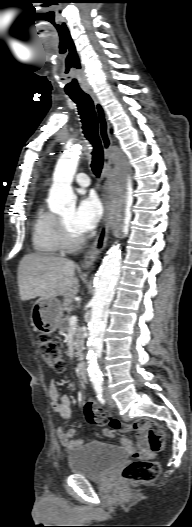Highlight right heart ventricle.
Wrapping results in <instances>:
<instances>
[{"mask_svg":"<svg viewBox=\"0 0 192 527\" xmlns=\"http://www.w3.org/2000/svg\"><path fill=\"white\" fill-rule=\"evenodd\" d=\"M32 245L40 255H56L63 249L58 230V216L39 206L31 224Z\"/></svg>","mask_w":192,"mask_h":527,"instance_id":"e07e8e85","label":"right heart ventricle"}]
</instances>
